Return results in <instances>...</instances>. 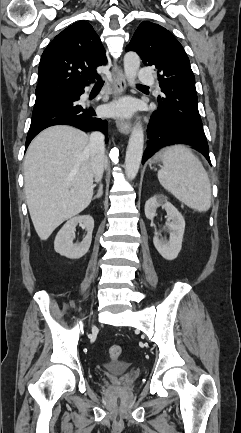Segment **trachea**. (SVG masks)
<instances>
[{"instance_id": "1", "label": "trachea", "mask_w": 241, "mask_h": 433, "mask_svg": "<svg viewBox=\"0 0 241 433\" xmlns=\"http://www.w3.org/2000/svg\"><path fill=\"white\" fill-rule=\"evenodd\" d=\"M103 83H104V81H99L96 83V85H103ZM138 85H141V84H138Z\"/></svg>"}]
</instances>
